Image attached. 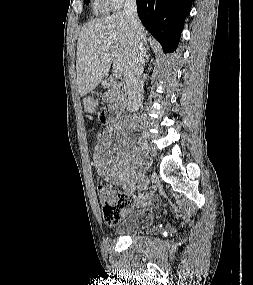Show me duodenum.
I'll list each match as a JSON object with an SVG mask.
<instances>
[{
  "instance_id": "duodenum-1",
  "label": "duodenum",
  "mask_w": 253,
  "mask_h": 285,
  "mask_svg": "<svg viewBox=\"0 0 253 285\" xmlns=\"http://www.w3.org/2000/svg\"><path fill=\"white\" fill-rule=\"evenodd\" d=\"M102 86L105 87V88H111L113 86V84L110 81L105 80V81H103ZM120 106H121V104L118 103V104H116L114 106H111L108 109L107 116H108L109 119H113L114 118V115L117 114Z\"/></svg>"
}]
</instances>
